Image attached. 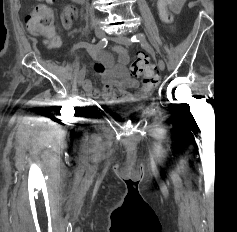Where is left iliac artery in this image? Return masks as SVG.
<instances>
[{
	"label": "left iliac artery",
	"mask_w": 237,
	"mask_h": 232,
	"mask_svg": "<svg viewBox=\"0 0 237 232\" xmlns=\"http://www.w3.org/2000/svg\"><path fill=\"white\" fill-rule=\"evenodd\" d=\"M145 39V35L143 33H138L135 34L132 38L131 41L132 42H141Z\"/></svg>",
	"instance_id": "left-iliac-artery-1"
}]
</instances>
